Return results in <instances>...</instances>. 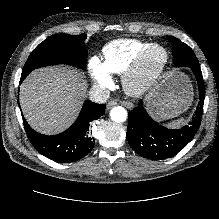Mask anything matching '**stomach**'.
I'll list each match as a JSON object with an SVG mask.
<instances>
[{
    "label": "stomach",
    "instance_id": "stomach-1",
    "mask_svg": "<svg viewBox=\"0 0 219 219\" xmlns=\"http://www.w3.org/2000/svg\"><path fill=\"white\" fill-rule=\"evenodd\" d=\"M164 96H162V98H158V101L155 102V105L157 106L158 110H164L165 108L163 107V105L166 106L165 103H167L170 100L171 97V91L164 92L163 94ZM163 107V108H162Z\"/></svg>",
    "mask_w": 219,
    "mask_h": 219
}]
</instances>
